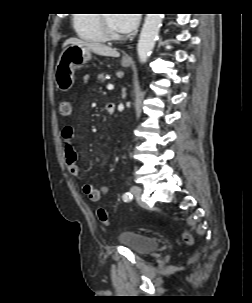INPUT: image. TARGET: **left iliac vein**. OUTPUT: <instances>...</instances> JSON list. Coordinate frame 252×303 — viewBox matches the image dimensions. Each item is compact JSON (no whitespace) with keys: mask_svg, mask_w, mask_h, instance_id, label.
Listing matches in <instances>:
<instances>
[{"mask_svg":"<svg viewBox=\"0 0 252 303\" xmlns=\"http://www.w3.org/2000/svg\"><path fill=\"white\" fill-rule=\"evenodd\" d=\"M131 192L135 196V198H136V200L138 201L139 204H144V202L141 199V193H142L141 187H139V186H133L131 188Z\"/></svg>","mask_w":252,"mask_h":303,"instance_id":"1","label":"left iliac vein"}]
</instances>
